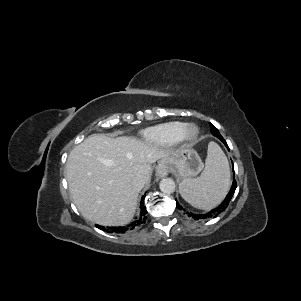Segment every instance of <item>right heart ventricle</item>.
<instances>
[{
  "instance_id": "right-heart-ventricle-1",
  "label": "right heart ventricle",
  "mask_w": 301,
  "mask_h": 301,
  "mask_svg": "<svg viewBox=\"0 0 301 301\" xmlns=\"http://www.w3.org/2000/svg\"><path fill=\"white\" fill-rule=\"evenodd\" d=\"M187 123L172 121L149 127L142 132V138L153 145L168 146L179 141Z\"/></svg>"
}]
</instances>
